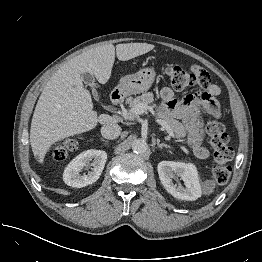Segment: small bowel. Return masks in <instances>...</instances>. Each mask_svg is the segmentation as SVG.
<instances>
[{
    "instance_id": "small-bowel-1",
    "label": "small bowel",
    "mask_w": 262,
    "mask_h": 262,
    "mask_svg": "<svg viewBox=\"0 0 262 262\" xmlns=\"http://www.w3.org/2000/svg\"><path fill=\"white\" fill-rule=\"evenodd\" d=\"M200 69L201 67L197 65L190 67L191 72L195 74H197ZM200 81L205 86V90L196 95H188L181 101L175 98L173 90L169 87L163 88L160 96L163 107L170 109L175 117L182 120L187 133V143L196 149L199 158L207 159L210 153L201 146L203 139L201 110L219 117L221 111L218 96L221 90L218 85L211 82L209 77Z\"/></svg>"
}]
</instances>
